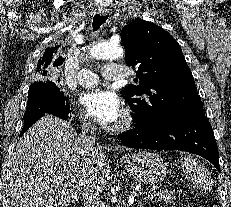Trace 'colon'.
<instances>
[{
    "instance_id": "colon-1",
    "label": "colon",
    "mask_w": 231,
    "mask_h": 207,
    "mask_svg": "<svg viewBox=\"0 0 231 207\" xmlns=\"http://www.w3.org/2000/svg\"><path fill=\"white\" fill-rule=\"evenodd\" d=\"M190 207H196V206L192 205V206H190Z\"/></svg>"
}]
</instances>
